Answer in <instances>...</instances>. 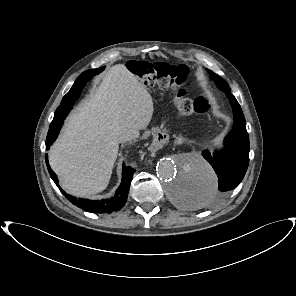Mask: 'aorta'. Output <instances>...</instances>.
<instances>
[{"label":"aorta","mask_w":296,"mask_h":296,"mask_svg":"<svg viewBox=\"0 0 296 296\" xmlns=\"http://www.w3.org/2000/svg\"><path fill=\"white\" fill-rule=\"evenodd\" d=\"M156 172L166 183L168 195L177 204L199 209L215 198L217 176L213 168L198 155L186 154L177 160L161 159Z\"/></svg>","instance_id":"aorta-1"}]
</instances>
